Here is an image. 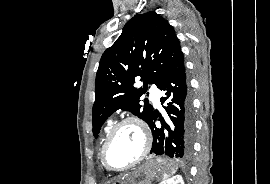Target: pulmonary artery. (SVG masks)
Here are the masks:
<instances>
[{
  "label": "pulmonary artery",
  "mask_w": 270,
  "mask_h": 184,
  "mask_svg": "<svg viewBox=\"0 0 270 184\" xmlns=\"http://www.w3.org/2000/svg\"><path fill=\"white\" fill-rule=\"evenodd\" d=\"M150 95H151V99L153 100L155 105L158 106L160 104V95H159L158 89H156L155 87H152L150 89Z\"/></svg>",
  "instance_id": "pulmonary-artery-1"
}]
</instances>
